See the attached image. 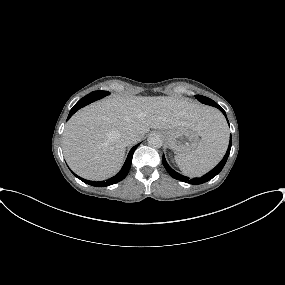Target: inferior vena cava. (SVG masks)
Segmentation results:
<instances>
[{
	"label": "inferior vena cava",
	"mask_w": 285,
	"mask_h": 285,
	"mask_svg": "<svg viewBox=\"0 0 285 285\" xmlns=\"http://www.w3.org/2000/svg\"><path fill=\"white\" fill-rule=\"evenodd\" d=\"M123 140L126 144L135 143L139 140L138 135L133 132H127L123 135Z\"/></svg>",
	"instance_id": "1"
}]
</instances>
